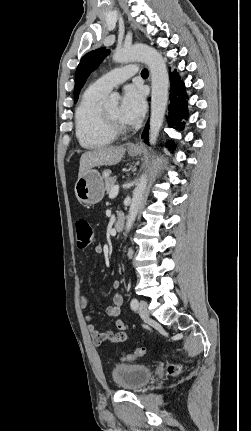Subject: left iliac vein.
Masks as SVG:
<instances>
[{"mask_svg": "<svg viewBox=\"0 0 251 431\" xmlns=\"http://www.w3.org/2000/svg\"><path fill=\"white\" fill-rule=\"evenodd\" d=\"M138 313L141 318H149L148 304L147 302L141 300L138 305Z\"/></svg>", "mask_w": 251, "mask_h": 431, "instance_id": "1", "label": "left iliac vein"}]
</instances>
